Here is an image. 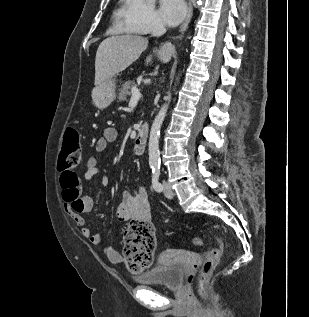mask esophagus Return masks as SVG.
Here are the masks:
<instances>
[{
    "label": "esophagus",
    "mask_w": 309,
    "mask_h": 317,
    "mask_svg": "<svg viewBox=\"0 0 309 317\" xmlns=\"http://www.w3.org/2000/svg\"><path fill=\"white\" fill-rule=\"evenodd\" d=\"M192 15H193V7H192V2L190 0L189 1L187 15H186L185 20L183 21V23H182V25L180 26V29H179L180 33H183L186 30V28L188 27V24L190 23Z\"/></svg>",
    "instance_id": "esophagus-1"
}]
</instances>
